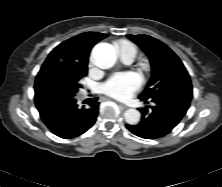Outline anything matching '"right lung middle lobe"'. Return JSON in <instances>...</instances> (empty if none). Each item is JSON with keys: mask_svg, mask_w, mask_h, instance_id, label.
Wrapping results in <instances>:
<instances>
[{"mask_svg": "<svg viewBox=\"0 0 222 187\" xmlns=\"http://www.w3.org/2000/svg\"><path fill=\"white\" fill-rule=\"evenodd\" d=\"M59 67L66 73L75 88L79 89L81 87V84L79 83L80 79L86 76L88 72L87 64L60 61ZM44 68L45 67L42 66L41 70Z\"/></svg>", "mask_w": 222, "mask_h": 187, "instance_id": "dd1d6c3e", "label": "right lung middle lobe"}]
</instances>
